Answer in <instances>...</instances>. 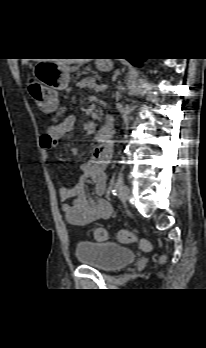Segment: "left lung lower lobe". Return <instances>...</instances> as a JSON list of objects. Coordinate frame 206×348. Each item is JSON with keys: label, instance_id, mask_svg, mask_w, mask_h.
Returning <instances> with one entry per match:
<instances>
[{"label": "left lung lower lobe", "instance_id": "left-lung-lower-lobe-1", "mask_svg": "<svg viewBox=\"0 0 206 348\" xmlns=\"http://www.w3.org/2000/svg\"><path fill=\"white\" fill-rule=\"evenodd\" d=\"M129 62H131L133 65H136V66H141V62L144 60V59H136V58H130V59H127Z\"/></svg>", "mask_w": 206, "mask_h": 348}]
</instances>
